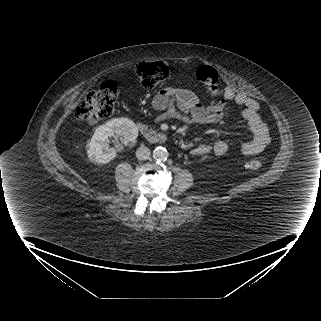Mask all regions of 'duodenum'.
Here are the masks:
<instances>
[{"label":"duodenum","instance_id":"1","mask_svg":"<svg viewBox=\"0 0 321 321\" xmlns=\"http://www.w3.org/2000/svg\"><path fill=\"white\" fill-rule=\"evenodd\" d=\"M137 125L140 132L148 141L153 143H165L167 141V136L163 132L142 122H139Z\"/></svg>","mask_w":321,"mask_h":321}]
</instances>
